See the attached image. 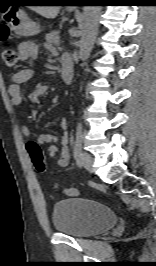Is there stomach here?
I'll use <instances>...</instances> for the list:
<instances>
[{
  "mask_svg": "<svg viewBox=\"0 0 156 266\" xmlns=\"http://www.w3.org/2000/svg\"><path fill=\"white\" fill-rule=\"evenodd\" d=\"M7 21L10 29L21 36H31L40 31L39 25L29 21L21 11H16Z\"/></svg>",
  "mask_w": 156,
  "mask_h": 266,
  "instance_id": "1",
  "label": "stomach"
}]
</instances>
